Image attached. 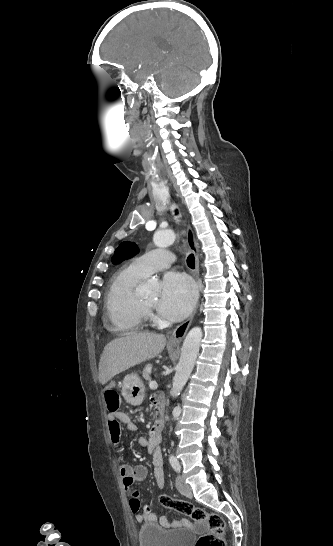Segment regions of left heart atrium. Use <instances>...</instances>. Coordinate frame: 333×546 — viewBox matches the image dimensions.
Listing matches in <instances>:
<instances>
[{
  "instance_id": "left-heart-atrium-1",
  "label": "left heart atrium",
  "mask_w": 333,
  "mask_h": 546,
  "mask_svg": "<svg viewBox=\"0 0 333 546\" xmlns=\"http://www.w3.org/2000/svg\"><path fill=\"white\" fill-rule=\"evenodd\" d=\"M195 301L196 290L189 277L177 272L164 276L157 305L162 316L171 321L181 320L192 311Z\"/></svg>"
}]
</instances>
